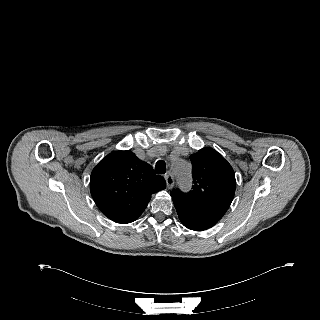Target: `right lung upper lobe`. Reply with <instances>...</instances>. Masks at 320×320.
Wrapping results in <instances>:
<instances>
[{
    "instance_id": "1",
    "label": "right lung upper lobe",
    "mask_w": 320,
    "mask_h": 320,
    "mask_svg": "<svg viewBox=\"0 0 320 320\" xmlns=\"http://www.w3.org/2000/svg\"><path fill=\"white\" fill-rule=\"evenodd\" d=\"M165 187L164 179L131 151L108 154L90 178V192L98 208L109 219L122 224L136 220L151 195Z\"/></svg>"
}]
</instances>
